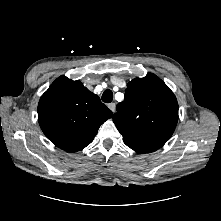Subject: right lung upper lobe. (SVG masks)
<instances>
[{"label": "right lung upper lobe", "instance_id": "cb5924a9", "mask_svg": "<svg viewBox=\"0 0 221 221\" xmlns=\"http://www.w3.org/2000/svg\"><path fill=\"white\" fill-rule=\"evenodd\" d=\"M112 111L80 81L57 78L38 104V121L57 147L77 152L89 145Z\"/></svg>", "mask_w": 221, "mask_h": 221}]
</instances>
